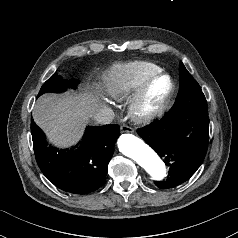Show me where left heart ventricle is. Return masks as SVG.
Here are the masks:
<instances>
[{"instance_id": "obj_1", "label": "left heart ventricle", "mask_w": 238, "mask_h": 238, "mask_svg": "<svg viewBox=\"0 0 238 238\" xmlns=\"http://www.w3.org/2000/svg\"><path fill=\"white\" fill-rule=\"evenodd\" d=\"M166 87H167V82L164 79L157 81L153 85L149 95L150 105L154 104L162 96V94L166 90Z\"/></svg>"}]
</instances>
